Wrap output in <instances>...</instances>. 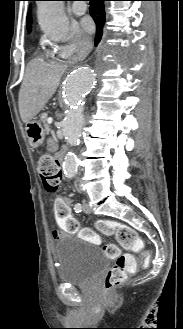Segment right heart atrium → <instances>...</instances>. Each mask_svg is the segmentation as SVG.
I'll return each mask as SVG.
<instances>
[{
    "instance_id": "right-heart-atrium-1",
    "label": "right heart atrium",
    "mask_w": 183,
    "mask_h": 329,
    "mask_svg": "<svg viewBox=\"0 0 183 329\" xmlns=\"http://www.w3.org/2000/svg\"><path fill=\"white\" fill-rule=\"evenodd\" d=\"M90 46L89 38L77 27L72 26L66 40L57 46V54L60 57L66 58L71 56L76 48Z\"/></svg>"
}]
</instances>
